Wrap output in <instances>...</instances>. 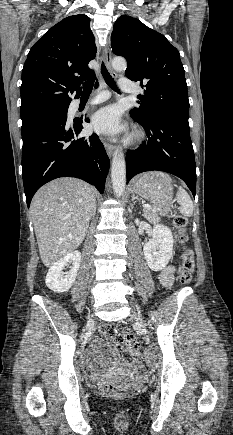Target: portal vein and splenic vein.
Here are the masks:
<instances>
[{
	"label": "portal vein and splenic vein",
	"instance_id": "1",
	"mask_svg": "<svg viewBox=\"0 0 233 435\" xmlns=\"http://www.w3.org/2000/svg\"><path fill=\"white\" fill-rule=\"evenodd\" d=\"M143 208H151L148 204H143Z\"/></svg>",
	"mask_w": 233,
	"mask_h": 435
}]
</instances>
